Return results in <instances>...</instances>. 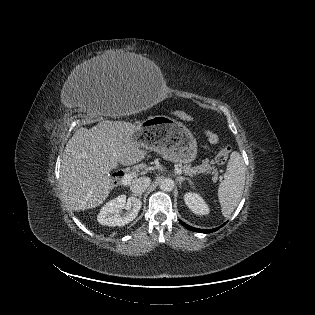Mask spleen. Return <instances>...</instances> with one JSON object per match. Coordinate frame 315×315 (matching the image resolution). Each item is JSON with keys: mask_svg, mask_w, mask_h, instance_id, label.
I'll return each instance as SVG.
<instances>
[{"mask_svg": "<svg viewBox=\"0 0 315 315\" xmlns=\"http://www.w3.org/2000/svg\"><path fill=\"white\" fill-rule=\"evenodd\" d=\"M246 166L238 152H232L223 181L218 187L222 215L228 217L238 206L245 185Z\"/></svg>", "mask_w": 315, "mask_h": 315, "instance_id": "3e777b00", "label": "spleen"}]
</instances>
